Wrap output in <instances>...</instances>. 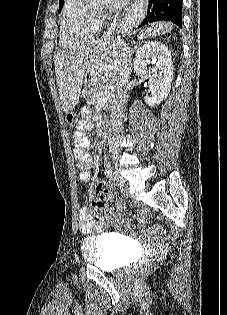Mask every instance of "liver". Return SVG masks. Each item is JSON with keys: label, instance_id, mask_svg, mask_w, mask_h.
<instances>
[{"label": "liver", "instance_id": "1", "mask_svg": "<svg viewBox=\"0 0 227 315\" xmlns=\"http://www.w3.org/2000/svg\"><path fill=\"white\" fill-rule=\"evenodd\" d=\"M173 29L169 22L152 23L140 29L139 40L165 35ZM130 48L119 37H104L71 47L54 57L57 87L64 112L69 113L78 104L81 85L87 73L91 75H113L114 67L124 52ZM129 55V54H128ZM131 64V58H127ZM132 67V64H131Z\"/></svg>", "mask_w": 227, "mask_h": 315}]
</instances>
